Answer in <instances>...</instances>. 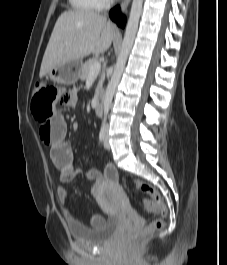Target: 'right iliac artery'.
I'll return each mask as SVG.
<instances>
[{
	"label": "right iliac artery",
	"mask_w": 227,
	"mask_h": 265,
	"mask_svg": "<svg viewBox=\"0 0 227 265\" xmlns=\"http://www.w3.org/2000/svg\"><path fill=\"white\" fill-rule=\"evenodd\" d=\"M105 134H106V128H105V124H103L102 127H101V130H100V133H99V140H100L101 142L104 141V139H105Z\"/></svg>",
	"instance_id": "right-iliac-artery-1"
}]
</instances>
